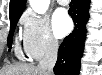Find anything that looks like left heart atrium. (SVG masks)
I'll list each match as a JSON object with an SVG mask.
<instances>
[{
	"instance_id": "39dd6f15",
	"label": "left heart atrium",
	"mask_w": 102,
	"mask_h": 75,
	"mask_svg": "<svg viewBox=\"0 0 102 75\" xmlns=\"http://www.w3.org/2000/svg\"><path fill=\"white\" fill-rule=\"evenodd\" d=\"M73 23L65 9H58L52 20V29L56 37L62 38L72 29Z\"/></svg>"
}]
</instances>
